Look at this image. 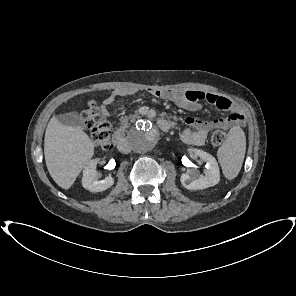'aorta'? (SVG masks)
I'll use <instances>...</instances> for the list:
<instances>
[{"label":"aorta","mask_w":296,"mask_h":296,"mask_svg":"<svg viewBox=\"0 0 296 296\" xmlns=\"http://www.w3.org/2000/svg\"><path fill=\"white\" fill-rule=\"evenodd\" d=\"M160 131L148 120H139L128 133L133 150L145 153L154 149L160 142Z\"/></svg>","instance_id":"aorta-1"}]
</instances>
